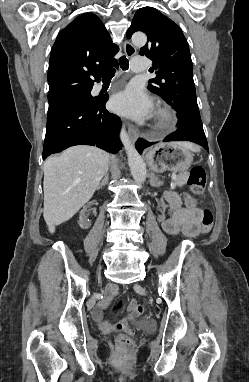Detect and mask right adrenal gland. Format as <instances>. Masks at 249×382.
Returning <instances> with one entry per match:
<instances>
[{
	"label": "right adrenal gland",
	"mask_w": 249,
	"mask_h": 382,
	"mask_svg": "<svg viewBox=\"0 0 249 382\" xmlns=\"http://www.w3.org/2000/svg\"><path fill=\"white\" fill-rule=\"evenodd\" d=\"M108 178H109V174L106 173V175L102 179L101 183L98 185L97 190H99L100 188H102L103 186H105L108 183Z\"/></svg>",
	"instance_id": "right-adrenal-gland-1"
}]
</instances>
